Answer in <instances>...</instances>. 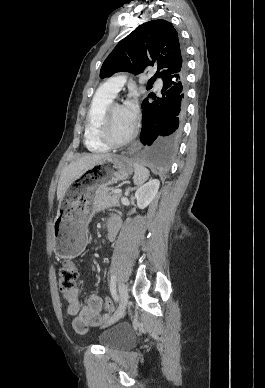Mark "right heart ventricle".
Instances as JSON below:
<instances>
[{"mask_svg": "<svg viewBox=\"0 0 265 388\" xmlns=\"http://www.w3.org/2000/svg\"><path fill=\"white\" fill-rule=\"evenodd\" d=\"M86 119L85 142L88 148L95 152L108 150V146L97 136V125L102 111L117 98V91H96Z\"/></svg>", "mask_w": 265, "mask_h": 388, "instance_id": "e07e8e85", "label": "right heart ventricle"}]
</instances>
